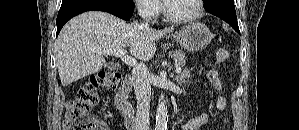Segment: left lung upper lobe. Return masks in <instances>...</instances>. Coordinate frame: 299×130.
<instances>
[{"label":"left lung upper lobe","instance_id":"5c2ea615","mask_svg":"<svg viewBox=\"0 0 299 130\" xmlns=\"http://www.w3.org/2000/svg\"><path fill=\"white\" fill-rule=\"evenodd\" d=\"M203 1H204V3H205V2H208V0H203Z\"/></svg>","mask_w":299,"mask_h":130}]
</instances>
